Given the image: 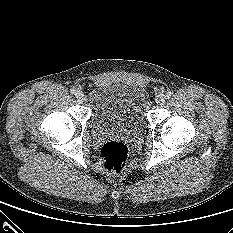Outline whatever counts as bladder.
I'll use <instances>...</instances> for the list:
<instances>
[{"label":"bladder","mask_w":233,"mask_h":233,"mask_svg":"<svg viewBox=\"0 0 233 233\" xmlns=\"http://www.w3.org/2000/svg\"><path fill=\"white\" fill-rule=\"evenodd\" d=\"M89 101L94 131L141 132L147 124L149 95L145 88L127 83L95 84Z\"/></svg>","instance_id":"obj_1"}]
</instances>
